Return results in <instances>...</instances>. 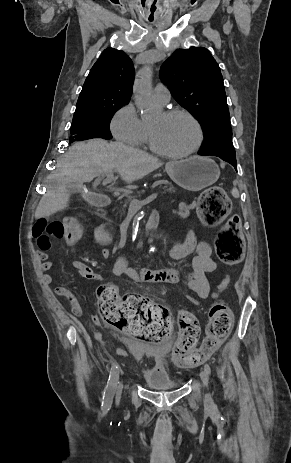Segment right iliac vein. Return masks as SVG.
Segmentation results:
<instances>
[{
	"label": "right iliac vein",
	"instance_id": "1",
	"mask_svg": "<svg viewBox=\"0 0 291 463\" xmlns=\"http://www.w3.org/2000/svg\"><path fill=\"white\" fill-rule=\"evenodd\" d=\"M121 391H122V384H119L118 386L115 387L116 403H119L120 401Z\"/></svg>",
	"mask_w": 291,
	"mask_h": 463
}]
</instances>
